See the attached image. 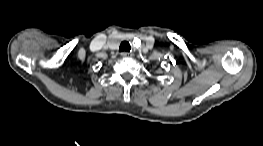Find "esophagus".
Returning <instances> with one entry per match:
<instances>
[{
  "mask_svg": "<svg viewBox=\"0 0 263 146\" xmlns=\"http://www.w3.org/2000/svg\"><path fill=\"white\" fill-rule=\"evenodd\" d=\"M121 56L122 57H129V56H131V53L124 51V52L121 53Z\"/></svg>",
  "mask_w": 263,
  "mask_h": 146,
  "instance_id": "34e87169",
  "label": "esophagus"
}]
</instances>
